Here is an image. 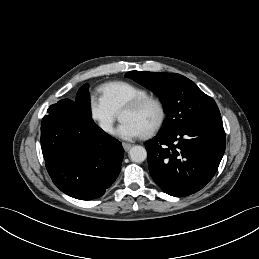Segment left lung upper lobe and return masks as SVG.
<instances>
[{"label":"left lung upper lobe","mask_w":259,"mask_h":259,"mask_svg":"<svg viewBox=\"0 0 259 259\" xmlns=\"http://www.w3.org/2000/svg\"><path fill=\"white\" fill-rule=\"evenodd\" d=\"M125 76L154 91L162 101L166 119L159 133H174L221 119L215 101L180 74L130 71Z\"/></svg>","instance_id":"5c2ea615"}]
</instances>
